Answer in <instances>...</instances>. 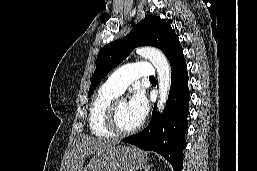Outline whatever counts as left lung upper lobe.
Wrapping results in <instances>:
<instances>
[{
  "label": "left lung upper lobe",
  "instance_id": "obj_1",
  "mask_svg": "<svg viewBox=\"0 0 257 171\" xmlns=\"http://www.w3.org/2000/svg\"><path fill=\"white\" fill-rule=\"evenodd\" d=\"M145 45L159 48L168 59L182 48L168 23L154 15H146L126 37L105 45L99 52L88 95H91L98 83L122 62L132 49Z\"/></svg>",
  "mask_w": 257,
  "mask_h": 171
}]
</instances>
